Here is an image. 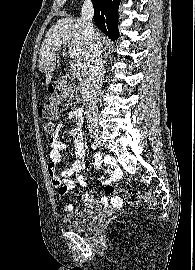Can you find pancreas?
<instances>
[{
  "label": "pancreas",
  "mask_w": 195,
  "mask_h": 270,
  "mask_svg": "<svg viewBox=\"0 0 195 270\" xmlns=\"http://www.w3.org/2000/svg\"><path fill=\"white\" fill-rule=\"evenodd\" d=\"M78 69H79L78 70L79 77L84 79V77L86 76L85 71L81 67H78Z\"/></svg>",
  "instance_id": "cf45deb5"
}]
</instances>
